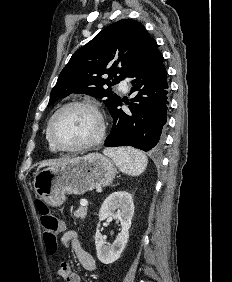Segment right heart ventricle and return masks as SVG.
Wrapping results in <instances>:
<instances>
[{
    "mask_svg": "<svg viewBox=\"0 0 232 282\" xmlns=\"http://www.w3.org/2000/svg\"><path fill=\"white\" fill-rule=\"evenodd\" d=\"M46 141H47V144H48V149L53 153H57L58 150L49 141V138H48V135H47V130H46Z\"/></svg>",
    "mask_w": 232,
    "mask_h": 282,
    "instance_id": "e07e8e85",
    "label": "right heart ventricle"
}]
</instances>
